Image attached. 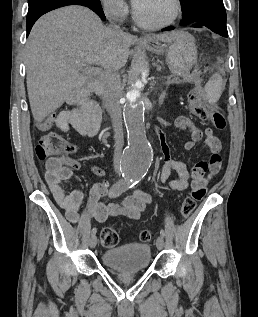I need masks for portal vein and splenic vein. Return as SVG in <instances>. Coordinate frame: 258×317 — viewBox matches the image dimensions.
Segmentation results:
<instances>
[{
  "mask_svg": "<svg viewBox=\"0 0 258 317\" xmlns=\"http://www.w3.org/2000/svg\"><path fill=\"white\" fill-rule=\"evenodd\" d=\"M77 68H82V66H85L84 62H81V60H75ZM100 72V68H97V66H88V74H98Z\"/></svg>",
  "mask_w": 258,
  "mask_h": 317,
  "instance_id": "portal-vein-and-splenic-vein-1",
  "label": "portal vein and splenic vein"
}]
</instances>
